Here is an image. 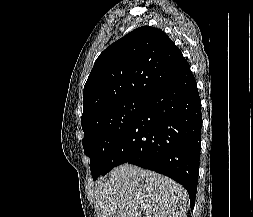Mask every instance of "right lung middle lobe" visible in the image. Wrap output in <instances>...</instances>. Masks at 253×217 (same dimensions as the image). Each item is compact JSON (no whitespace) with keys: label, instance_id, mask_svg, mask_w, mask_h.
I'll list each match as a JSON object with an SVG mask.
<instances>
[{"label":"right lung middle lobe","instance_id":"obj_1","mask_svg":"<svg viewBox=\"0 0 253 217\" xmlns=\"http://www.w3.org/2000/svg\"><path fill=\"white\" fill-rule=\"evenodd\" d=\"M145 97H130L104 107L82 123L83 148L90 157L96 180L106 169L114 147L147 102Z\"/></svg>","mask_w":253,"mask_h":217}]
</instances>
